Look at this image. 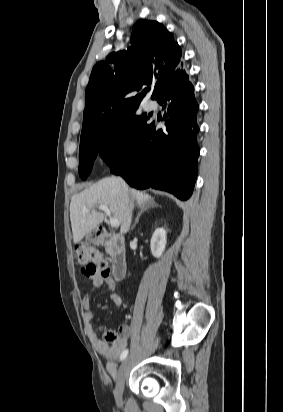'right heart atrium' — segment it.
I'll use <instances>...</instances> for the list:
<instances>
[{
  "mask_svg": "<svg viewBox=\"0 0 283 412\" xmlns=\"http://www.w3.org/2000/svg\"><path fill=\"white\" fill-rule=\"evenodd\" d=\"M123 140L120 136H114L106 142L101 150V157L107 158L116 153L122 146Z\"/></svg>",
  "mask_w": 283,
  "mask_h": 412,
  "instance_id": "d8ad5b80",
  "label": "right heart atrium"
}]
</instances>
